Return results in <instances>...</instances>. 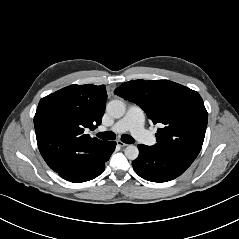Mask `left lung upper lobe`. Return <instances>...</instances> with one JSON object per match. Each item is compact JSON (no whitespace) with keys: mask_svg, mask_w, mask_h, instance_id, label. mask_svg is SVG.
I'll list each match as a JSON object with an SVG mask.
<instances>
[{"mask_svg":"<svg viewBox=\"0 0 239 239\" xmlns=\"http://www.w3.org/2000/svg\"><path fill=\"white\" fill-rule=\"evenodd\" d=\"M114 93L139 105L154 123H161L152 146L193 162L199 154L208 113L194 90L169 80H133Z\"/></svg>","mask_w":239,"mask_h":239,"instance_id":"5c2ea615","label":"left lung upper lobe"}]
</instances>
